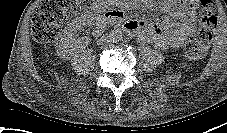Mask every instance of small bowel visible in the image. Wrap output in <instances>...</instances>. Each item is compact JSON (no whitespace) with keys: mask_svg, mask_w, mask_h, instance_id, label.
<instances>
[{"mask_svg":"<svg viewBox=\"0 0 227 133\" xmlns=\"http://www.w3.org/2000/svg\"><path fill=\"white\" fill-rule=\"evenodd\" d=\"M161 9L178 22L168 18L157 23L128 20L134 30L144 40L153 43L159 49L179 47L192 35L197 19L198 0H162ZM123 15V12L117 11Z\"/></svg>","mask_w":227,"mask_h":133,"instance_id":"small-bowel-1","label":"small bowel"}]
</instances>
